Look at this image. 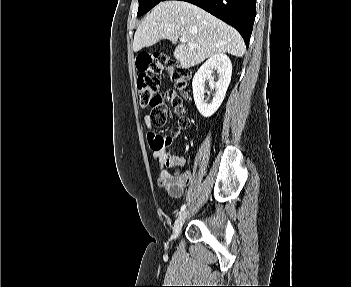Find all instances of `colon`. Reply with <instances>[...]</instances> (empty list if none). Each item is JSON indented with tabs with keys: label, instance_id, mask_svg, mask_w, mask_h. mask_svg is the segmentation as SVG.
I'll list each match as a JSON object with an SVG mask.
<instances>
[{
	"label": "colon",
	"instance_id": "5ec220e1",
	"mask_svg": "<svg viewBox=\"0 0 351 287\" xmlns=\"http://www.w3.org/2000/svg\"><path fill=\"white\" fill-rule=\"evenodd\" d=\"M137 68L140 72L137 78V93L142 107L152 108V126L161 127L165 124L167 117L166 102H170L180 115L179 125L183 128L189 126L190 121L186 116L188 109L183 99L171 91L160 95L158 90L159 77L163 73L168 75L178 89H185L191 80V71L163 53L142 54L137 59ZM178 179L181 186H185L188 181V174L180 173Z\"/></svg>",
	"mask_w": 351,
	"mask_h": 287
}]
</instances>
